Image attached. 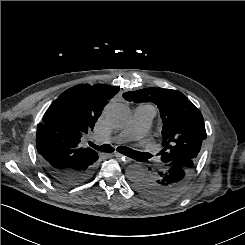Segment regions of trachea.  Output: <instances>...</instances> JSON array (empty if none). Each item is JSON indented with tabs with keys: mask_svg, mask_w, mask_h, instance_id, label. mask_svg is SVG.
<instances>
[{
	"mask_svg": "<svg viewBox=\"0 0 245 245\" xmlns=\"http://www.w3.org/2000/svg\"><path fill=\"white\" fill-rule=\"evenodd\" d=\"M90 146L92 148L98 150V151H101V152H114V148L109 144H104V145L98 146V145H95L94 143H90ZM117 150L120 153H122V154H124L130 158H135L138 155L137 151H134L128 147L119 146L117 148Z\"/></svg>",
	"mask_w": 245,
	"mask_h": 245,
	"instance_id": "trachea-1",
	"label": "trachea"
}]
</instances>
